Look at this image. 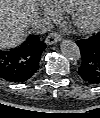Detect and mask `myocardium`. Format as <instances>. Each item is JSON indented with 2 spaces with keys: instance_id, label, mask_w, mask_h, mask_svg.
<instances>
[{
  "instance_id": "myocardium-1",
  "label": "myocardium",
  "mask_w": 100,
  "mask_h": 118,
  "mask_svg": "<svg viewBox=\"0 0 100 118\" xmlns=\"http://www.w3.org/2000/svg\"><path fill=\"white\" fill-rule=\"evenodd\" d=\"M72 23L82 32L94 30L100 23V0H86L72 12Z\"/></svg>"
}]
</instances>
